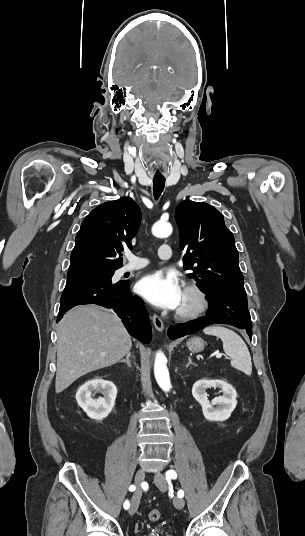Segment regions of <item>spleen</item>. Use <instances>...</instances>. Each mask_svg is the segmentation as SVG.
<instances>
[{"mask_svg": "<svg viewBox=\"0 0 305 536\" xmlns=\"http://www.w3.org/2000/svg\"><path fill=\"white\" fill-rule=\"evenodd\" d=\"M204 334L221 338L223 350L229 356L232 368H236V370L244 372L247 376H251V356L245 342H243L238 334H235L232 330H227V328H222V324H215V326L205 328Z\"/></svg>", "mask_w": 305, "mask_h": 536, "instance_id": "spleen-1", "label": "spleen"}]
</instances>
